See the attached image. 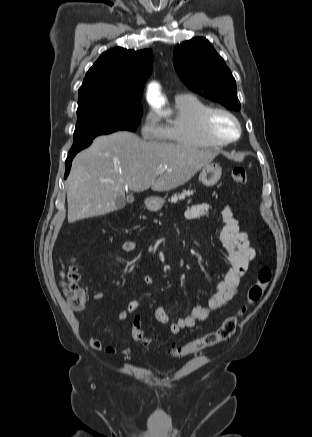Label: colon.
Returning <instances> with one entry per match:
<instances>
[{"label": "colon", "mask_w": 312, "mask_h": 437, "mask_svg": "<svg viewBox=\"0 0 312 437\" xmlns=\"http://www.w3.org/2000/svg\"><path fill=\"white\" fill-rule=\"evenodd\" d=\"M231 180L236 185L245 184L247 181L246 169L244 167H235L231 172ZM271 278V269L268 266L262 267L258 272L256 281L247 291L246 306H243L236 314L226 317L218 328L185 345H174L171 354L174 356H187L230 339L236 331L240 316L244 314L248 305H252L262 298ZM61 279L63 291L68 298L69 305L73 309H81L87 303L88 298L85 290L79 285L80 274L73 262L64 266ZM142 323L143 320L138 315L132 319L131 335L136 342L148 346L151 341L145 336Z\"/></svg>", "instance_id": "5ec220e1"}]
</instances>
